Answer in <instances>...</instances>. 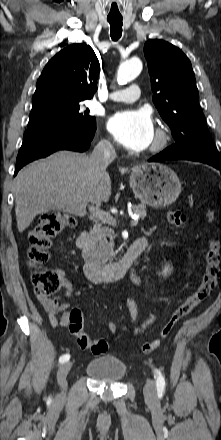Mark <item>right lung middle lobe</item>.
<instances>
[{
  "instance_id": "dd1d6c3e",
  "label": "right lung middle lobe",
  "mask_w": 221,
  "mask_h": 440,
  "mask_svg": "<svg viewBox=\"0 0 221 440\" xmlns=\"http://www.w3.org/2000/svg\"><path fill=\"white\" fill-rule=\"evenodd\" d=\"M82 103H49L33 107L28 129L40 126H56L70 130L93 131L96 119L81 110Z\"/></svg>"
}]
</instances>
